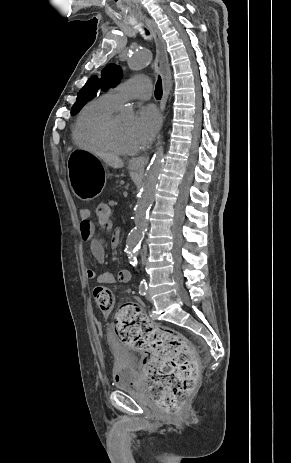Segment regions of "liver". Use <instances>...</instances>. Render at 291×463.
I'll use <instances>...</instances> for the list:
<instances>
[{"mask_svg": "<svg viewBox=\"0 0 291 463\" xmlns=\"http://www.w3.org/2000/svg\"><path fill=\"white\" fill-rule=\"evenodd\" d=\"M94 155L102 159L105 163L113 168H122L124 165L122 159L114 154L95 151Z\"/></svg>", "mask_w": 291, "mask_h": 463, "instance_id": "obj_1", "label": "liver"}]
</instances>
